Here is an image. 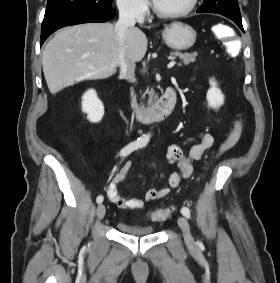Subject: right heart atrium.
I'll return each instance as SVG.
<instances>
[{"mask_svg": "<svg viewBox=\"0 0 280 283\" xmlns=\"http://www.w3.org/2000/svg\"><path fill=\"white\" fill-rule=\"evenodd\" d=\"M117 5L122 14L138 20L144 18L149 11L147 0H117Z\"/></svg>", "mask_w": 280, "mask_h": 283, "instance_id": "obj_1", "label": "right heart atrium"}]
</instances>
